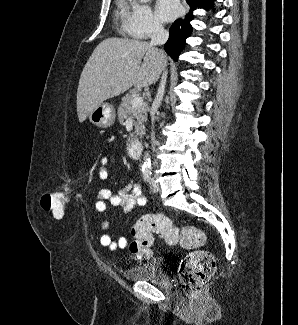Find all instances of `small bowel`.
<instances>
[{"mask_svg":"<svg viewBox=\"0 0 298 325\" xmlns=\"http://www.w3.org/2000/svg\"><path fill=\"white\" fill-rule=\"evenodd\" d=\"M109 162V154H103L100 158V168L98 172V176L102 180H106L109 176L107 169ZM107 201H109L113 206L122 207L126 213L133 211L136 207L144 206L146 203L139 184L134 180H129L116 194L109 189H101L99 191L95 203V209L104 217L108 215ZM108 228L109 221L104 219L101 223V229L104 231L100 237L101 246L111 250L126 248L128 245L127 239L125 237H119L117 240H114L110 234L106 233Z\"/></svg>","mask_w":298,"mask_h":325,"instance_id":"small-bowel-1","label":"small bowel"}]
</instances>
